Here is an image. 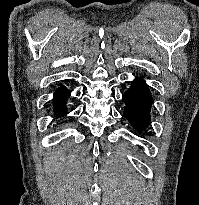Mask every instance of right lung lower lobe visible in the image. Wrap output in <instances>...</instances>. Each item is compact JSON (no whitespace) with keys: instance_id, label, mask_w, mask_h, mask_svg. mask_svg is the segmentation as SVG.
I'll return each instance as SVG.
<instances>
[{"instance_id":"right-lung-lower-lobe-1","label":"right lung lower lobe","mask_w":199,"mask_h":205,"mask_svg":"<svg viewBox=\"0 0 199 205\" xmlns=\"http://www.w3.org/2000/svg\"><path fill=\"white\" fill-rule=\"evenodd\" d=\"M70 96V91L64 87H59L53 95L54 111L56 116L66 114V100Z\"/></svg>"}]
</instances>
